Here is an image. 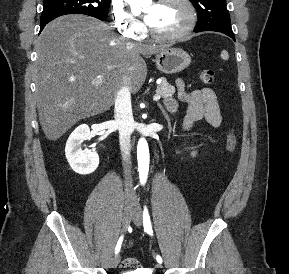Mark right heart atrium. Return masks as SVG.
I'll use <instances>...</instances> for the list:
<instances>
[{
	"instance_id": "1",
	"label": "right heart atrium",
	"mask_w": 289,
	"mask_h": 274,
	"mask_svg": "<svg viewBox=\"0 0 289 274\" xmlns=\"http://www.w3.org/2000/svg\"><path fill=\"white\" fill-rule=\"evenodd\" d=\"M112 15L116 28L123 35L130 38H139L143 32V25L132 17L123 6L122 1L112 2Z\"/></svg>"
}]
</instances>
